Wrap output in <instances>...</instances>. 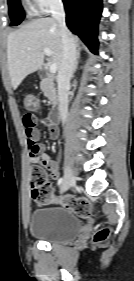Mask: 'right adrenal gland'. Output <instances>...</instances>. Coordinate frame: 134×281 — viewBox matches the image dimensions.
Listing matches in <instances>:
<instances>
[{"instance_id": "right-adrenal-gland-1", "label": "right adrenal gland", "mask_w": 134, "mask_h": 281, "mask_svg": "<svg viewBox=\"0 0 134 281\" xmlns=\"http://www.w3.org/2000/svg\"><path fill=\"white\" fill-rule=\"evenodd\" d=\"M80 55H81V51L80 50H78L77 51V57H76V63H75V68H74V72L77 70V68H78V64H79V60H80Z\"/></svg>"}]
</instances>
